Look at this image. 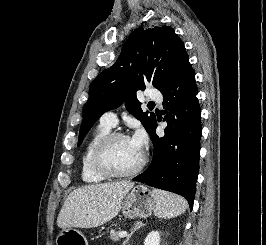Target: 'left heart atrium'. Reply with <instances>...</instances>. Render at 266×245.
Segmentation results:
<instances>
[{
    "label": "left heart atrium",
    "mask_w": 266,
    "mask_h": 245,
    "mask_svg": "<svg viewBox=\"0 0 266 245\" xmlns=\"http://www.w3.org/2000/svg\"><path fill=\"white\" fill-rule=\"evenodd\" d=\"M130 142L133 147L141 153L143 146L145 144V135L142 130H136L134 134L129 137Z\"/></svg>",
    "instance_id": "left-heart-atrium-1"
}]
</instances>
